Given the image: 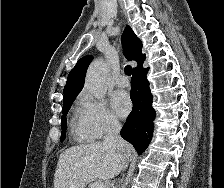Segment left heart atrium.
<instances>
[{
	"instance_id": "left-heart-atrium-1",
	"label": "left heart atrium",
	"mask_w": 224,
	"mask_h": 188,
	"mask_svg": "<svg viewBox=\"0 0 224 188\" xmlns=\"http://www.w3.org/2000/svg\"><path fill=\"white\" fill-rule=\"evenodd\" d=\"M111 105L119 117H126L132 109V102L127 93L118 91L113 94Z\"/></svg>"
}]
</instances>
